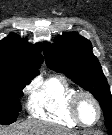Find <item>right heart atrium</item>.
Here are the masks:
<instances>
[{"instance_id":"right-heart-atrium-1","label":"right heart atrium","mask_w":112,"mask_h":135,"mask_svg":"<svg viewBox=\"0 0 112 135\" xmlns=\"http://www.w3.org/2000/svg\"><path fill=\"white\" fill-rule=\"evenodd\" d=\"M24 91H25V92H28V91H29V87H26V88L24 89Z\"/></svg>"}]
</instances>
